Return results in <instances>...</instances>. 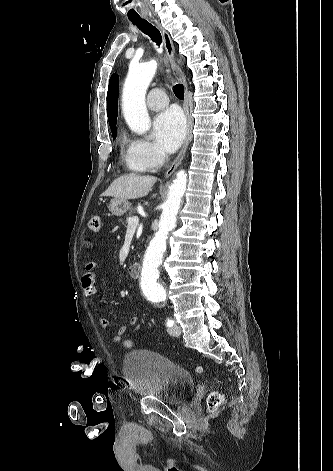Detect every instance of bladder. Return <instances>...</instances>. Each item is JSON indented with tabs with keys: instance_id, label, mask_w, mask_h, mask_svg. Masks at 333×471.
<instances>
[{
	"instance_id": "obj_1",
	"label": "bladder",
	"mask_w": 333,
	"mask_h": 471,
	"mask_svg": "<svg viewBox=\"0 0 333 471\" xmlns=\"http://www.w3.org/2000/svg\"><path fill=\"white\" fill-rule=\"evenodd\" d=\"M123 374L136 395L168 405L184 403L195 388L194 378L186 369L150 350L128 353L123 360Z\"/></svg>"
}]
</instances>
